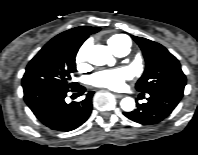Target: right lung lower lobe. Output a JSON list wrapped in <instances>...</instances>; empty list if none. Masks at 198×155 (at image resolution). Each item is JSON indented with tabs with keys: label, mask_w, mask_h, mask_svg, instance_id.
<instances>
[{
	"label": "right lung lower lobe",
	"mask_w": 198,
	"mask_h": 155,
	"mask_svg": "<svg viewBox=\"0 0 198 155\" xmlns=\"http://www.w3.org/2000/svg\"><path fill=\"white\" fill-rule=\"evenodd\" d=\"M69 91L83 94L85 88L80 85L71 89L47 85L31 86L24 88V100L45 126L68 132L78 128L89 118L94 94L90 91L83 101L67 104L64 99Z\"/></svg>",
	"instance_id": "98d812e1"
}]
</instances>
